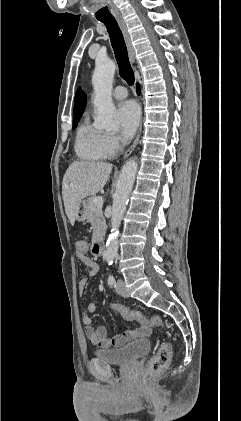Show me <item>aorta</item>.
I'll use <instances>...</instances> for the list:
<instances>
[{
    "label": "aorta",
    "mask_w": 241,
    "mask_h": 421,
    "mask_svg": "<svg viewBox=\"0 0 241 421\" xmlns=\"http://www.w3.org/2000/svg\"><path fill=\"white\" fill-rule=\"evenodd\" d=\"M116 65L111 59L96 60L92 76L94 88V105L97 108L95 126L100 129L113 130L116 128L115 106L112 102V83ZM138 164L135 159L128 160L120 173L113 198L111 212V233L106 243L105 258L111 264L118 251L119 227L126 210L130 191L133 187Z\"/></svg>",
    "instance_id": "aorta-1"
}]
</instances>
